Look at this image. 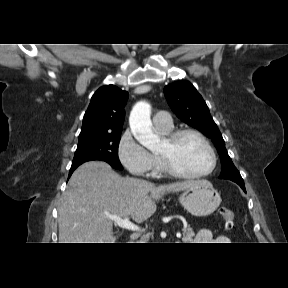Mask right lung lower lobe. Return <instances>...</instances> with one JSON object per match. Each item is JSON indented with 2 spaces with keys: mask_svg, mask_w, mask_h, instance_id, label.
<instances>
[{
  "mask_svg": "<svg viewBox=\"0 0 288 288\" xmlns=\"http://www.w3.org/2000/svg\"><path fill=\"white\" fill-rule=\"evenodd\" d=\"M78 166H71V169L69 171V177L71 176V174L73 173V171L77 168Z\"/></svg>",
  "mask_w": 288,
  "mask_h": 288,
  "instance_id": "obj_1",
  "label": "right lung lower lobe"
}]
</instances>
